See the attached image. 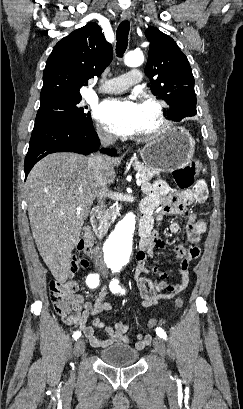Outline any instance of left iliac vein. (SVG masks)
I'll list each match as a JSON object with an SVG mask.
<instances>
[{
  "label": "left iliac vein",
  "mask_w": 243,
  "mask_h": 409,
  "mask_svg": "<svg viewBox=\"0 0 243 409\" xmlns=\"http://www.w3.org/2000/svg\"><path fill=\"white\" fill-rule=\"evenodd\" d=\"M153 346L157 354L164 359L165 357V343L160 337H155L153 340ZM164 368L166 369V364H164Z\"/></svg>",
  "instance_id": "obj_1"
}]
</instances>
